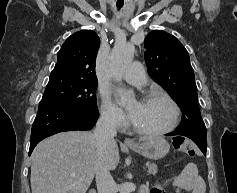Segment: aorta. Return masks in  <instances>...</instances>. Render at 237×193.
<instances>
[{
  "instance_id": "aorta-1",
  "label": "aorta",
  "mask_w": 237,
  "mask_h": 193,
  "mask_svg": "<svg viewBox=\"0 0 237 193\" xmlns=\"http://www.w3.org/2000/svg\"><path fill=\"white\" fill-rule=\"evenodd\" d=\"M134 46L130 43H116L110 56V71L117 82H121V75L127 65L132 61ZM126 100H132L134 94L130 90L120 89ZM120 193H129L127 186L121 188Z\"/></svg>"
}]
</instances>
